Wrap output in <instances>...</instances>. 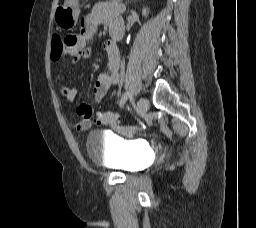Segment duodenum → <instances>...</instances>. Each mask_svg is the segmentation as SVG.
<instances>
[{
	"label": "duodenum",
	"mask_w": 256,
	"mask_h": 228,
	"mask_svg": "<svg viewBox=\"0 0 256 228\" xmlns=\"http://www.w3.org/2000/svg\"><path fill=\"white\" fill-rule=\"evenodd\" d=\"M123 35V27L122 26H114L112 29H111V36L114 38V39H120Z\"/></svg>",
	"instance_id": "obj_1"
}]
</instances>
